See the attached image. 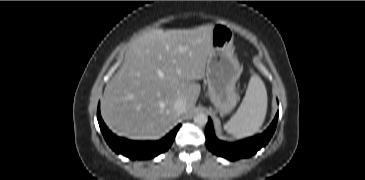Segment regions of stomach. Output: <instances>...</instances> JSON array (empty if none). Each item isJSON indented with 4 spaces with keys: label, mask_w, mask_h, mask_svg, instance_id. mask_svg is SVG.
<instances>
[{
    "label": "stomach",
    "mask_w": 365,
    "mask_h": 180,
    "mask_svg": "<svg viewBox=\"0 0 365 180\" xmlns=\"http://www.w3.org/2000/svg\"><path fill=\"white\" fill-rule=\"evenodd\" d=\"M233 40V31L228 25H213L212 48L207 60L206 77L208 97L220 115L229 113L238 101L235 85L242 69L233 54Z\"/></svg>",
    "instance_id": "obj_1"
}]
</instances>
